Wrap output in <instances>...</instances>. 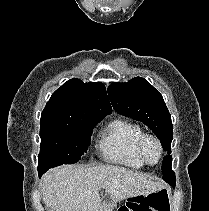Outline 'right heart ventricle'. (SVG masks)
Segmentation results:
<instances>
[{
  "mask_svg": "<svg viewBox=\"0 0 209 211\" xmlns=\"http://www.w3.org/2000/svg\"><path fill=\"white\" fill-rule=\"evenodd\" d=\"M142 133L139 124L118 117L104 126L97 146L105 160L139 169L144 163L137 154L136 144Z\"/></svg>",
  "mask_w": 209,
  "mask_h": 211,
  "instance_id": "1",
  "label": "right heart ventricle"
}]
</instances>
